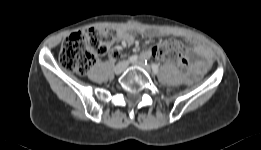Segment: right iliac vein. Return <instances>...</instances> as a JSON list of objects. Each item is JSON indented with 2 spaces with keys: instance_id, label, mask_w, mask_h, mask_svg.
<instances>
[{
  "instance_id": "obj_1",
  "label": "right iliac vein",
  "mask_w": 261,
  "mask_h": 150,
  "mask_svg": "<svg viewBox=\"0 0 261 150\" xmlns=\"http://www.w3.org/2000/svg\"><path fill=\"white\" fill-rule=\"evenodd\" d=\"M128 66V63L126 61H122V62H119L115 68H114V72L116 74H121L122 72L125 71V69L127 68Z\"/></svg>"
}]
</instances>
